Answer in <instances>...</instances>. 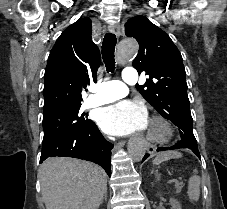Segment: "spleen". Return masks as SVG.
Here are the masks:
<instances>
[{
	"label": "spleen",
	"mask_w": 227,
	"mask_h": 209,
	"mask_svg": "<svg viewBox=\"0 0 227 209\" xmlns=\"http://www.w3.org/2000/svg\"><path fill=\"white\" fill-rule=\"evenodd\" d=\"M181 153L178 151H165V153H159L155 159H153V165H160L163 161H169V159H180ZM200 185L201 179L198 177L197 169H194L192 177L188 181V197L190 201H198L200 197Z\"/></svg>",
	"instance_id": "1"
}]
</instances>
